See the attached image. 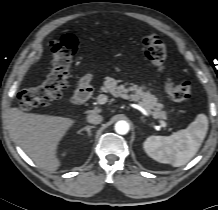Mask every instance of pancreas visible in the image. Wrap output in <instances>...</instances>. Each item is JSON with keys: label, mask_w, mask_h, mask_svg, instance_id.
Returning <instances> with one entry per match:
<instances>
[{"label": "pancreas", "mask_w": 218, "mask_h": 210, "mask_svg": "<svg viewBox=\"0 0 218 210\" xmlns=\"http://www.w3.org/2000/svg\"><path fill=\"white\" fill-rule=\"evenodd\" d=\"M119 82L121 81L109 77L102 90L110 92L114 97L137 102L154 118L166 119L167 113L163 110V104L158 103V99L150 91H145V87L128 83L118 84Z\"/></svg>", "instance_id": "cf45deb5"}]
</instances>
